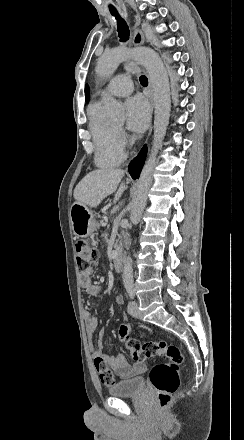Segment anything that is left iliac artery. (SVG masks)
Instances as JSON below:
<instances>
[{
  "label": "left iliac artery",
  "mask_w": 244,
  "mask_h": 440,
  "mask_svg": "<svg viewBox=\"0 0 244 440\" xmlns=\"http://www.w3.org/2000/svg\"><path fill=\"white\" fill-rule=\"evenodd\" d=\"M127 292L129 297L133 299L135 294H134V287L132 285L127 286Z\"/></svg>",
  "instance_id": "obj_1"
}]
</instances>
